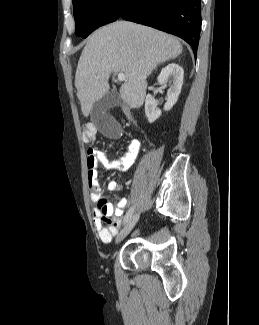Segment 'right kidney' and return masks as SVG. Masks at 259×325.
<instances>
[{
	"label": "right kidney",
	"instance_id": "right-kidney-1",
	"mask_svg": "<svg viewBox=\"0 0 259 325\" xmlns=\"http://www.w3.org/2000/svg\"><path fill=\"white\" fill-rule=\"evenodd\" d=\"M171 76L173 77V84L167 91V102L164 105L165 111L170 110L178 100L183 85V68L176 63L168 64L159 73L157 82L163 85ZM145 114L150 123H153L161 116V110L157 108V103L151 94H148L145 99Z\"/></svg>",
	"mask_w": 259,
	"mask_h": 325
}]
</instances>
